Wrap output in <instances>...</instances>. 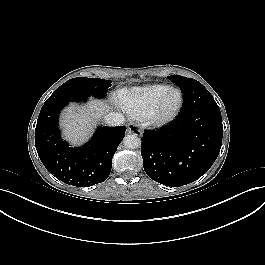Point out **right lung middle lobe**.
Instances as JSON below:
<instances>
[{"label":"right lung middle lobe","instance_id":"dd1d6c3e","mask_svg":"<svg viewBox=\"0 0 265 265\" xmlns=\"http://www.w3.org/2000/svg\"><path fill=\"white\" fill-rule=\"evenodd\" d=\"M110 86V80L85 77L72 78L58 87L44 105L86 101L89 96L104 98Z\"/></svg>","mask_w":265,"mask_h":265}]
</instances>
